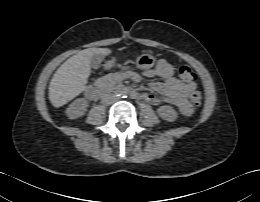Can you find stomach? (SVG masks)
<instances>
[{"mask_svg":"<svg viewBox=\"0 0 260 202\" xmlns=\"http://www.w3.org/2000/svg\"><path fill=\"white\" fill-rule=\"evenodd\" d=\"M155 58L153 55L151 54H142L140 56L137 57L136 59V66L139 69H150L154 66L155 64Z\"/></svg>","mask_w":260,"mask_h":202,"instance_id":"1","label":"stomach"}]
</instances>
